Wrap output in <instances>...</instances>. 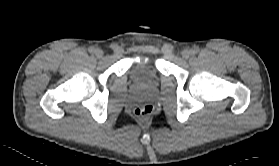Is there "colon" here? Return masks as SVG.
<instances>
[{
    "mask_svg": "<svg viewBox=\"0 0 279 166\" xmlns=\"http://www.w3.org/2000/svg\"><path fill=\"white\" fill-rule=\"evenodd\" d=\"M135 116L140 120L148 119L153 113V107L149 104L139 105L136 107Z\"/></svg>",
    "mask_w": 279,
    "mask_h": 166,
    "instance_id": "5ec220e1",
    "label": "colon"
}]
</instances>
